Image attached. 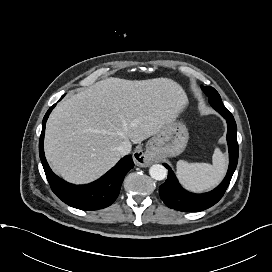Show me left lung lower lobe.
Returning a JSON list of instances; mask_svg holds the SVG:
<instances>
[{"instance_id":"left-lung-lower-lobe-1","label":"left lung lower lobe","mask_w":272,"mask_h":272,"mask_svg":"<svg viewBox=\"0 0 272 272\" xmlns=\"http://www.w3.org/2000/svg\"><path fill=\"white\" fill-rule=\"evenodd\" d=\"M211 106L218 111L227 121V142L229 148V167L222 183L214 190L204 194H193L183 189L176 179L171 168L168 179L159 187V194L163 202L172 209L184 212H198L208 209L216 204L224 195L238 162L237 126L233 115L226 109L222 101H210Z\"/></svg>"}]
</instances>
